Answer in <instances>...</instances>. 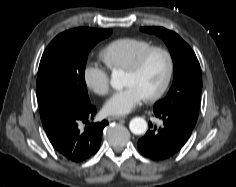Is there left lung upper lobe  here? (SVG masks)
Listing matches in <instances>:
<instances>
[{
  "label": "left lung upper lobe",
  "instance_id": "obj_1",
  "mask_svg": "<svg viewBox=\"0 0 236 187\" xmlns=\"http://www.w3.org/2000/svg\"><path fill=\"white\" fill-rule=\"evenodd\" d=\"M141 30L159 36L166 43L174 63L173 85L167 96L158 101L154 108L183 113L197 119L202 73L195 53L173 31L162 27H142Z\"/></svg>",
  "mask_w": 236,
  "mask_h": 187
}]
</instances>
